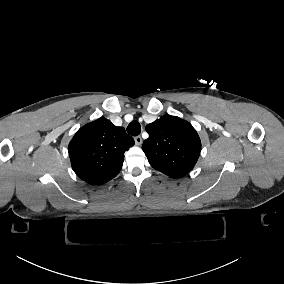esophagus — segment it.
Returning <instances> with one entry per match:
<instances>
[{
	"label": "esophagus",
	"mask_w": 284,
	"mask_h": 284,
	"mask_svg": "<svg viewBox=\"0 0 284 284\" xmlns=\"http://www.w3.org/2000/svg\"><path fill=\"white\" fill-rule=\"evenodd\" d=\"M134 141H135V144L140 146L142 144V138L141 136H135L134 137Z\"/></svg>",
	"instance_id": "obj_1"
}]
</instances>
